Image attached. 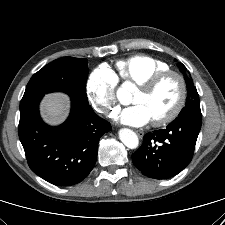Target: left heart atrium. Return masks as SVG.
<instances>
[{"label": "left heart atrium", "instance_id": "left-heart-atrium-1", "mask_svg": "<svg viewBox=\"0 0 225 225\" xmlns=\"http://www.w3.org/2000/svg\"><path fill=\"white\" fill-rule=\"evenodd\" d=\"M115 119L130 126H143L151 121L147 109L141 104L127 106L116 113Z\"/></svg>", "mask_w": 225, "mask_h": 225}]
</instances>
